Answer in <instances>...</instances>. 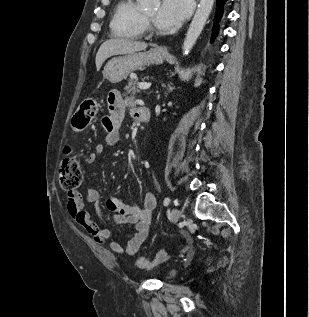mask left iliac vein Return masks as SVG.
<instances>
[{
	"label": "left iliac vein",
	"mask_w": 309,
	"mask_h": 317,
	"mask_svg": "<svg viewBox=\"0 0 309 317\" xmlns=\"http://www.w3.org/2000/svg\"><path fill=\"white\" fill-rule=\"evenodd\" d=\"M181 216V211L178 208H173L171 211V222L176 223Z\"/></svg>",
	"instance_id": "obj_1"
}]
</instances>
